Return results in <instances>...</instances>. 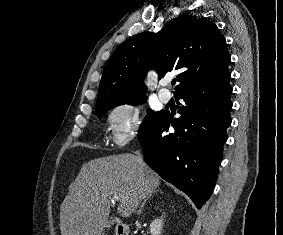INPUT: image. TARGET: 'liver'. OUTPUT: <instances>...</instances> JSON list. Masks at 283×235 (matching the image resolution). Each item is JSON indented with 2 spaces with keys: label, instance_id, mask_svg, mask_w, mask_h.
<instances>
[{
  "label": "liver",
  "instance_id": "6515ba94",
  "mask_svg": "<svg viewBox=\"0 0 283 235\" xmlns=\"http://www.w3.org/2000/svg\"><path fill=\"white\" fill-rule=\"evenodd\" d=\"M160 185V177L134 154H118L86 163L60 211L61 235H104L110 199L119 196L118 213L127 218Z\"/></svg>",
  "mask_w": 283,
  "mask_h": 235
}]
</instances>
